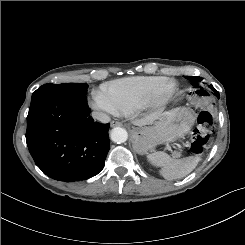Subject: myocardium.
Wrapping results in <instances>:
<instances>
[{"mask_svg": "<svg viewBox=\"0 0 245 245\" xmlns=\"http://www.w3.org/2000/svg\"><path fill=\"white\" fill-rule=\"evenodd\" d=\"M178 84L175 80H164L146 99L142 106L160 108L166 105L177 93Z\"/></svg>", "mask_w": 245, "mask_h": 245, "instance_id": "f54148a6", "label": "myocardium"}]
</instances>
